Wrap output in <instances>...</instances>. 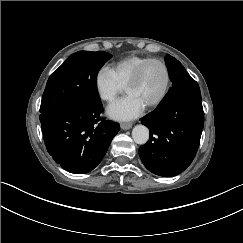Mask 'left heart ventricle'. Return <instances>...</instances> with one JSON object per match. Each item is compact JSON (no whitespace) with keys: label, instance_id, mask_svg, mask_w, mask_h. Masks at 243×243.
Instances as JSON below:
<instances>
[{"label":"left heart ventricle","instance_id":"b2bd125f","mask_svg":"<svg viewBox=\"0 0 243 243\" xmlns=\"http://www.w3.org/2000/svg\"><path fill=\"white\" fill-rule=\"evenodd\" d=\"M167 84V75L162 65L156 62L148 64L139 80L127 88L128 95H135L145 105L157 100Z\"/></svg>","mask_w":243,"mask_h":243}]
</instances>
